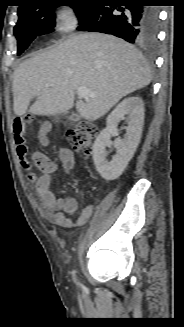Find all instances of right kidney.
I'll list each match as a JSON object with an SVG mask.
<instances>
[{
  "mask_svg": "<svg viewBox=\"0 0 184 327\" xmlns=\"http://www.w3.org/2000/svg\"><path fill=\"white\" fill-rule=\"evenodd\" d=\"M125 116L128 123L126 135L124 139H117L114 142L117 153L108 161L105 148L110 143L112 132ZM143 124L144 103L140 97L125 98L110 113L107 127L101 131L93 146L94 164L105 180H114L123 173L140 143Z\"/></svg>",
  "mask_w": 184,
  "mask_h": 327,
  "instance_id": "ca27d5eb",
  "label": "right kidney"
}]
</instances>
